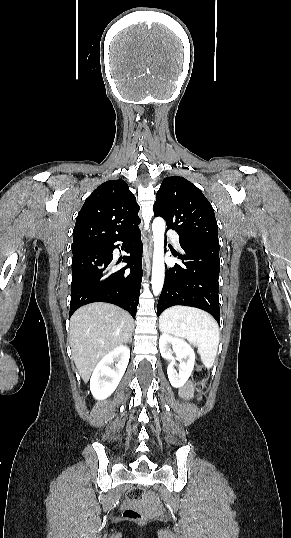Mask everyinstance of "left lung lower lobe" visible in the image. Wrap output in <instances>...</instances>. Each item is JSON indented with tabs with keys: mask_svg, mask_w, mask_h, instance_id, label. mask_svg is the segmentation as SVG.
<instances>
[{
	"mask_svg": "<svg viewBox=\"0 0 291 538\" xmlns=\"http://www.w3.org/2000/svg\"><path fill=\"white\" fill-rule=\"evenodd\" d=\"M183 252L165 273V282L157 306L159 316L174 305H185L209 312L220 324L219 245L206 242H182Z\"/></svg>",
	"mask_w": 291,
	"mask_h": 538,
	"instance_id": "0a47b994",
	"label": "left lung lower lobe"
}]
</instances>
